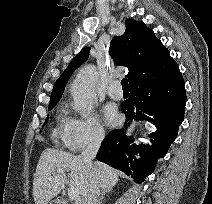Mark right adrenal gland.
<instances>
[{"label":"right adrenal gland","mask_w":212,"mask_h":204,"mask_svg":"<svg viewBox=\"0 0 212 204\" xmlns=\"http://www.w3.org/2000/svg\"><path fill=\"white\" fill-rule=\"evenodd\" d=\"M107 193H109V191L103 190V191L101 192V195H100V197H99L98 204H102V201H103V199H104V196H105Z\"/></svg>","instance_id":"2a0ac1e0"}]
</instances>
